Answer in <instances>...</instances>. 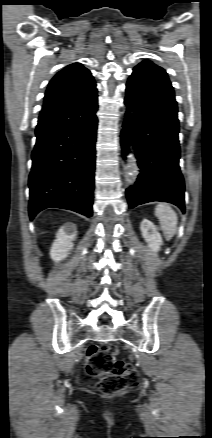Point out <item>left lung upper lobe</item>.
<instances>
[{
	"instance_id": "5c2ea615",
	"label": "left lung upper lobe",
	"mask_w": 212,
	"mask_h": 438,
	"mask_svg": "<svg viewBox=\"0 0 212 438\" xmlns=\"http://www.w3.org/2000/svg\"><path fill=\"white\" fill-rule=\"evenodd\" d=\"M129 80L138 81L174 95L173 87L165 70L150 61L138 64L133 69Z\"/></svg>"
}]
</instances>
